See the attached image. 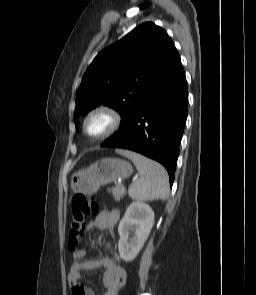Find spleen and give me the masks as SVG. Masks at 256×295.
I'll list each match as a JSON object with an SVG mask.
<instances>
[{
  "label": "spleen",
  "mask_w": 256,
  "mask_h": 295,
  "mask_svg": "<svg viewBox=\"0 0 256 295\" xmlns=\"http://www.w3.org/2000/svg\"><path fill=\"white\" fill-rule=\"evenodd\" d=\"M119 153L130 158L140 173V177L132 182L128 190L132 199L138 201L167 199L169 178L162 165L132 151L120 150Z\"/></svg>",
  "instance_id": "spleen-1"
}]
</instances>
